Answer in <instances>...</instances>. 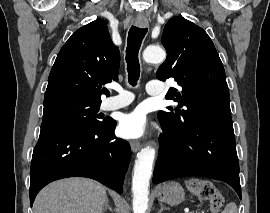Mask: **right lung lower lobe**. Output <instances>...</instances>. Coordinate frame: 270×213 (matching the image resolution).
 Instances as JSON below:
<instances>
[{
  "instance_id": "obj_1",
  "label": "right lung lower lobe",
  "mask_w": 270,
  "mask_h": 213,
  "mask_svg": "<svg viewBox=\"0 0 270 213\" xmlns=\"http://www.w3.org/2000/svg\"><path fill=\"white\" fill-rule=\"evenodd\" d=\"M116 122L98 128L64 123L41 125L30 174V204L48 183L67 177H88L122 193L130 162L127 141L116 138Z\"/></svg>"
}]
</instances>
